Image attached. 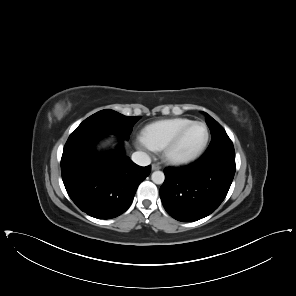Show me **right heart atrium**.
<instances>
[{
	"label": "right heart atrium",
	"instance_id": "right-heart-atrium-1",
	"mask_svg": "<svg viewBox=\"0 0 296 296\" xmlns=\"http://www.w3.org/2000/svg\"><path fill=\"white\" fill-rule=\"evenodd\" d=\"M136 144L145 151H153L154 149L149 145V143L142 137L136 139Z\"/></svg>",
	"mask_w": 296,
	"mask_h": 296
}]
</instances>
